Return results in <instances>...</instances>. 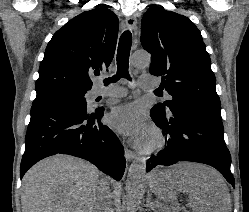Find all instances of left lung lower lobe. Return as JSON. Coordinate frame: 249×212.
Returning a JSON list of instances; mask_svg holds the SVG:
<instances>
[{
    "instance_id": "1",
    "label": "left lung lower lobe",
    "mask_w": 249,
    "mask_h": 212,
    "mask_svg": "<svg viewBox=\"0 0 249 212\" xmlns=\"http://www.w3.org/2000/svg\"><path fill=\"white\" fill-rule=\"evenodd\" d=\"M151 117L165 136V150L147 161L146 171L179 161L208 164L234 187L231 156L224 141L220 109L180 104L168 112L153 106Z\"/></svg>"
}]
</instances>
